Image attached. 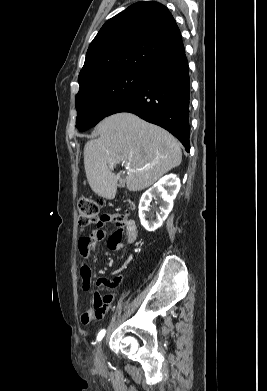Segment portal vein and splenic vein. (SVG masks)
<instances>
[{
  "instance_id": "1",
  "label": "portal vein and splenic vein",
  "mask_w": 267,
  "mask_h": 391,
  "mask_svg": "<svg viewBox=\"0 0 267 391\" xmlns=\"http://www.w3.org/2000/svg\"><path fill=\"white\" fill-rule=\"evenodd\" d=\"M110 167H113V165L111 164ZM125 167L128 171H131V172H137L138 170H134V169H131L130 168V163H125Z\"/></svg>"
}]
</instances>
